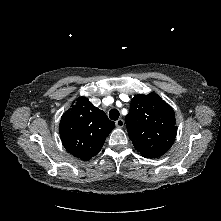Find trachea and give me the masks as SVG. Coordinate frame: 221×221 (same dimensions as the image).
<instances>
[{
    "label": "trachea",
    "instance_id": "obj_1",
    "mask_svg": "<svg viewBox=\"0 0 221 221\" xmlns=\"http://www.w3.org/2000/svg\"><path fill=\"white\" fill-rule=\"evenodd\" d=\"M109 118L111 120H114V121L118 120V118H119V111L117 109H111L109 111Z\"/></svg>",
    "mask_w": 221,
    "mask_h": 221
}]
</instances>
